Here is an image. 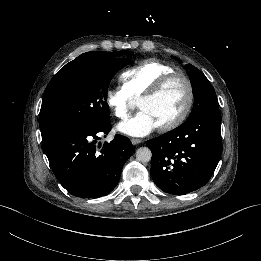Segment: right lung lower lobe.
I'll use <instances>...</instances> for the list:
<instances>
[{"instance_id":"1","label":"right lung lower lobe","mask_w":261,"mask_h":261,"mask_svg":"<svg viewBox=\"0 0 261 261\" xmlns=\"http://www.w3.org/2000/svg\"><path fill=\"white\" fill-rule=\"evenodd\" d=\"M110 130L108 121L92 129H60L42 141L54 175L71 195L97 198L118 184L122 167L134 149L122 135L97 147L99 136Z\"/></svg>"}]
</instances>
